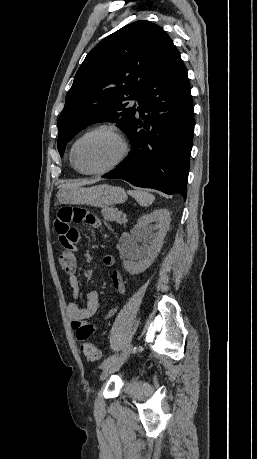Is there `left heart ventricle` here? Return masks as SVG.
<instances>
[{
  "instance_id": "left-heart-ventricle-1",
  "label": "left heart ventricle",
  "mask_w": 257,
  "mask_h": 459,
  "mask_svg": "<svg viewBox=\"0 0 257 459\" xmlns=\"http://www.w3.org/2000/svg\"><path fill=\"white\" fill-rule=\"evenodd\" d=\"M121 145L112 134L97 132L82 140L76 148V160L84 170H97L111 164L120 154Z\"/></svg>"
}]
</instances>
